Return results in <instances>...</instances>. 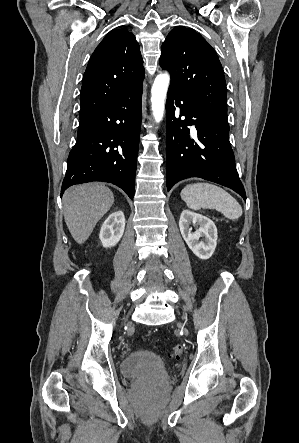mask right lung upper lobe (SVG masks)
I'll return each instance as SVG.
<instances>
[{"label": "right lung upper lobe", "instance_id": "right-lung-upper-lobe-1", "mask_svg": "<svg viewBox=\"0 0 299 443\" xmlns=\"http://www.w3.org/2000/svg\"><path fill=\"white\" fill-rule=\"evenodd\" d=\"M143 78V59L133 33L125 28L109 32L84 74L80 120L133 91Z\"/></svg>", "mask_w": 299, "mask_h": 443}]
</instances>
